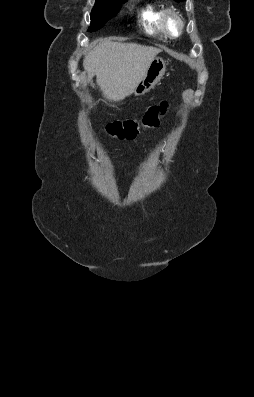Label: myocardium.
Wrapping results in <instances>:
<instances>
[{
	"label": "myocardium",
	"mask_w": 254,
	"mask_h": 397,
	"mask_svg": "<svg viewBox=\"0 0 254 397\" xmlns=\"http://www.w3.org/2000/svg\"><path fill=\"white\" fill-rule=\"evenodd\" d=\"M173 18L176 20L178 28L177 31L174 32L169 27V19ZM161 25L164 32L170 37H178L184 29V20L181 14L174 8H166L162 11L161 14Z\"/></svg>",
	"instance_id": "obj_1"
}]
</instances>
